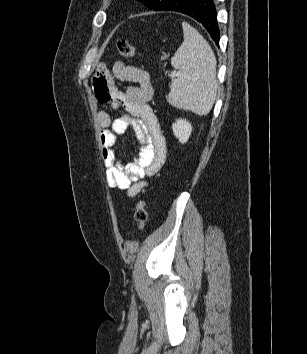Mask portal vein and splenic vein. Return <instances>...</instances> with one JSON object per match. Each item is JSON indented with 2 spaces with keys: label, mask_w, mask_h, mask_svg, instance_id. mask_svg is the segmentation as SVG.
Returning a JSON list of instances; mask_svg holds the SVG:
<instances>
[{
  "label": "portal vein and splenic vein",
  "mask_w": 307,
  "mask_h": 354,
  "mask_svg": "<svg viewBox=\"0 0 307 354\" xmlns=\"http://www.w3.org/2000/svg\"><path fill=\"white\" fill-rule=\"evenodd\" d=\"M178 76V74L176 73H172V77Z\"/></svg>",
  "instance_id": "18ae733b"
}]
</instances>
